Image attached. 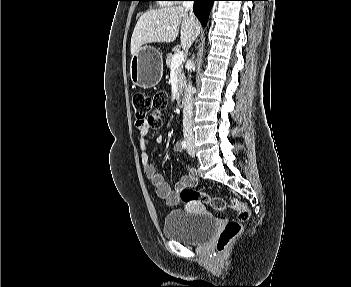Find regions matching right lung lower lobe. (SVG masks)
<instances>
[{"instance_id": "obj_1", "label": "right lung lower lobe", "mask_w": 351, "mask_h": 287, "mask_svg": "<svg viewBox=\"0 0 351 287\" xmlns=\"http://www.w3.org/2000/svg\"><path fill=\"white\" fill-rule=\"evenodd\" d=\"M194 3V13L197 18L200 20L203 26L206 25L208 20V15L212 6L213 1L215 0H193Z\"/></svg>"}]
</instances>
